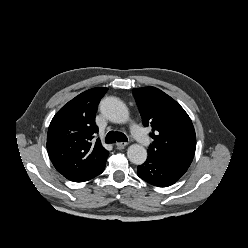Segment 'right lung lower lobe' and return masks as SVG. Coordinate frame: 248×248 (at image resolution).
<instances>
[{
	"instance_id": "obj_1",
	"label": "right lung lower lobe",
	"mask_w": 248,
	"mask_h": 248,
	"mask_svg": "<svg viewBox=\"0 0 248 248\" xmlns=\"http://www.w3.org/2000/svg\"><path fill=\"white\" fill-rule=\"evenodd\" d=\"M104 168H105V165L93 176V177H95V176H97V175H99V174H101L102 172H103V170H104ZM92 177V178H93Z\"/></svg>"
}]
</instances>
